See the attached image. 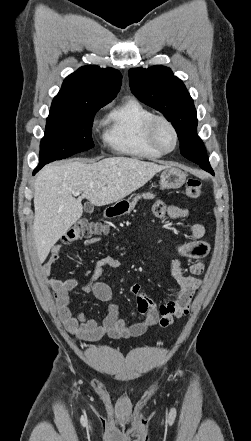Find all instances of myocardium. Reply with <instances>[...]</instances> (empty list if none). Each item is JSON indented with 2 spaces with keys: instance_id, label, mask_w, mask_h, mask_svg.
Listing matches in <instances>:
<instances>
[{
  "instance_id": "myocardium-1",
  "label": "myocardium",
  "mask_w": 251,
  "mask_h": 441,
  "mask_svg": "<svg viewBox=\"0 0 251 441\" xmlns=\"http://www.w3.org/2000/svg\"><path fill=\"white\" fill-rule=\"evenodd\" d=\"M159 124H165L167 125L173 132L174 135V145L171 149L165 150L163 149L157 140V128ZM146 136L148 143L153 147L156 151L161 153L162 155L171 153L176 149L179 143V133L174 125V123L166 116L164 115H154L148 122L146 127Z\"/></svg>"
}]
</instances>
